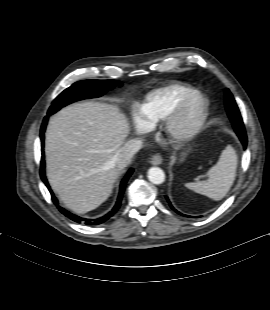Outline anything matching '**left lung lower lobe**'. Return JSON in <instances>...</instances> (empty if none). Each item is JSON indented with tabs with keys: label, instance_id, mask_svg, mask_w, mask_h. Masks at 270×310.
I'll return each instance as SVG.
<instances>
[{
	"label": "left lung lower lobe",
	"instance_id": "0a47b994",
	"mask_svg": "<svg viewBox=\"0 0 270 310\" xmlns=\"http://www.w3.org/2000/svg\"><path fill=\"white\" fill-rule=\"evenodd\" d=\"M238 135V137L240 138V140H241V142H242V144H243V146H244V148L246 147V145H247V137H246V133L245 132H242V133H238L237 134ZM166 200H167V202L169 203V206L173 209V210H175L174 209V207L172 206V204L170 203V201H169V199H168V197L166 196ZM176 211V210H175ZM178 214H180V215H183V214H181L180 212H178V211H176ZM184 216H186V215H184ZM186 217H190V216H186Z\"/></svg>",
	"mask_w": 270,
	"mask_h": 310
}]
</instances>
